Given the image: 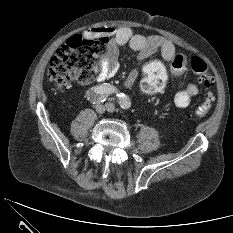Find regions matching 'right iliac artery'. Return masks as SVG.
<instances>
[{
    "instance_id": "right-iliac-artery-1",
    "label": "right iliac artery",
    "mask_w": 233,
    "mask_h": 233,
    "mask_svg": "<svg viewBox=\"0 0 233 233\" xmlns=\"http://www.w3.org/2000/svg\"><path fill=\"white\" fill-rule=\"evenodd\" d=\"M112 93H118L114 86L109 84L100 85L95 87L92 91L88 93V99L93 103H103L106 101L107 97Z\"/></svg>"
}]
</instances>
